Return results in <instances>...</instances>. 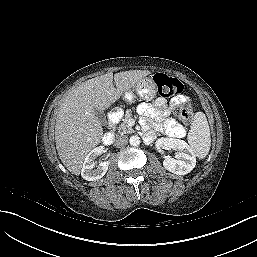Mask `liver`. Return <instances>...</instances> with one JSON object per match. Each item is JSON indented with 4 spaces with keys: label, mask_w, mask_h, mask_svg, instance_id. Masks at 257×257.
<instances>
[{
    "label": "liver",
    "mask_w": 257,
    "mask_h": 257,
    "mask_svg": "<svg viewBox=\"0 0 257 257\" xmlns=\"http://www.w3.org/2000/svg\"><path fill=\"white\" fill-rule=\"evenodd\" d=\"M150 73L147 70L107 73L83 82L67 94L58 110L55 141L62 163L72 174H80L88 152L101 142L103 128L95 110L109 108Z\"/></svg>",
    "instance_id": "liver-1"
}]
</instances>
